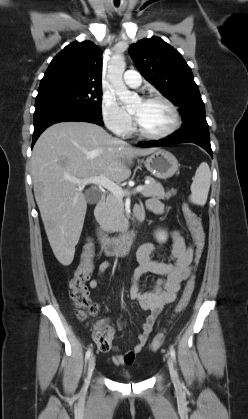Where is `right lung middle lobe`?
<instances>
[{
  "mask_svg": "<svg viewBox=\"0 0 248 419\" xmlns=\"http://www.w3.org/2000/svg\"><path fill=\"white\" fill-rule=\"evenodd\" d=\"M102 89L52 87L38 90L35 110L52 106H76L102 117Z\"/></svg>",
  "mask_w": 248,
  "mask_h": 419,
  "instance_id": "obj_1",
  "label": "right lung middle lobe"
}]
</instances>
